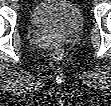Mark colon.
Returning a JSON list of instances; mask_svg holds the SVG:
<instances>
[{
	"label": "colon",
	"instance_id": "obj_1",
	"mask_svg": "<svg viewBox=\"0 0 111 106\" xmlns=\"http://www.w3.org/2000/svg\"><path fill=\"white\" fill-rule=\"evenodd\" d=\"M63 58V51L58 49L55 50L52 54V59L55 61H60Z\"/></svg>",
	"mask_w": 111,
	"mask_h": 106
}]
</instances>
